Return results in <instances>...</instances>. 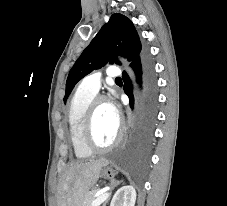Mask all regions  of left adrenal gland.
Here are the masks:
<instances>
[{
  "instance_id": "obj_1",
  "label": "left adrenal gland",
  "mask_w": 227,
  "mask_h": 206,
  "mask_svg": "<svg viewBox=\"0 0 227 206\" xmlns=\"http://www.w3.org/2000/svg\"><path fill=\"white\" fill-rule=\"evenodd\" d=\"M123 181L121 180V181H118V180H112L111 181V189H110V191H109V196H108V198L106 199V201L103 203V206H106V204L108 203V201L110 200V197H111V193H112V190L117 186V185H119L120 183H122Z\"/></svg>"
}]
</instances>
